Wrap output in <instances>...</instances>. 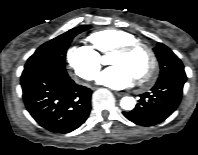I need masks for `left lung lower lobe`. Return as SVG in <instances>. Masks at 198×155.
Wrapping results in <instances>:
<instances>
[{
  "instance_id": "1",
  "label": "left lung lower lobe",
  "mask_w": 198,
  "mask_h": 155,
  "mask_svg": "<svg viewBox=\"0 0 198 155\" xmlns=\"http://www.w3.org/2000/svg\"><path fill=\"white\" fill-rule=\"evenodd\" d=\"M186 75H174L157 81L151 93L140 95L138 105L124 116L138 125L153 126L167 119L178 107L182 97ZM148 113V119L141 118Z\"/></svg>"
}]
</instances>
